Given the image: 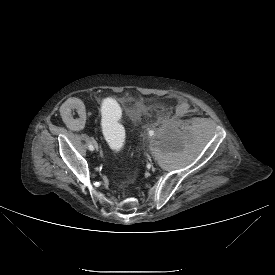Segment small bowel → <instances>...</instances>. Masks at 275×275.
<instances>
[{"label":"small bowel","mask_w":275,"mask_h":275,"mask_svg":"<svg viewBox=\"0 0 275 275\" xmlns=\"http://www.w3.org/2000/svg\"><path fill=\"white\" fill-rule=\"evenodd\" d=\"M61 118L63 122L72 129H82L86 118L82 101L77 98H71L65 101L62 106Z\"/></svg>","instance_id":"c3829d8e"}]
</instances>
